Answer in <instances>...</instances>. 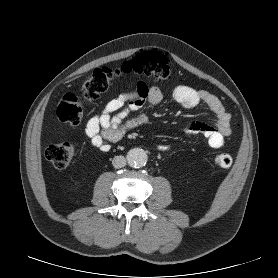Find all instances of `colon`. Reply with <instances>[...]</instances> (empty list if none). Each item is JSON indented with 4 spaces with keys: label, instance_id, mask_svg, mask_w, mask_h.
Returning a JSON list of instances; mask_svg holds the SVG:
<instances>
[{
    "label": "colon",
    "instance_id": "1",
    "mask_svg": "<svg viewBox=\"0 0 278 278\" xmlns=\"http://www.w3.org/2000/svg\"><path fill=\"white\" fill-rule=\"evenodd\" d=\"M128 74L156 80H169L172 76L167 57L157 50L139 53L118 68H97L85 83L81 94L72 92L62 97L56 109L57 118L71 125L79 124L84 118L86 106L97 100L115 78ZM74 154L75 147L70 142L50 145L45 150L47 160L57 169L66 168ZM214 162L218 167L229 168L233 160L227 153H218Z\"/></svg>",
    "mask_w": 278,
    "mask_h": 278
}]
</instances>
